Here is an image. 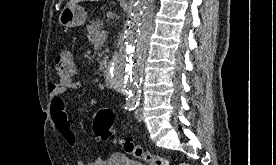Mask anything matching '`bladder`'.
<instances>
[{
	"instance_id": "31cf9c89",
	"label": "bladder",
	"mask_w": 276,
	"mask_h": 165,
	"mask_svg": "<svg viewBox=\"0 0 276 165\" xmlns=\"http://www.w3.org/2000/svg\"><path fill=\"white\" fill-rule=\"evenodd\" d=\"M111 165H145V164L120 154L114 158V161Z\"/></svg>"
}]
</instances>
